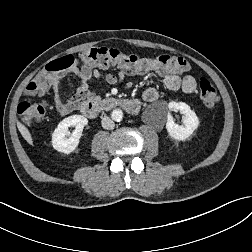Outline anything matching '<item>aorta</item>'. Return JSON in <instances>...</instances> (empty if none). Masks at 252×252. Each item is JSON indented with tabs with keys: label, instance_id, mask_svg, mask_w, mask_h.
<instances>
[{
	"label": "aorta",
	"instance_id": "aorta-1",
	"mask_svg": "<svg viewBox=\"0 0 252 252\" xmlns=\"http://www.w3.org/2000/svg\"><path fill=\"white\" fill-rule=\"evenodd\" d=\"M111 117L114 121L120 122L123 119V111L121 109H115L112 111Z\"/></svg>",
	"mask_w": 252,
	"mask_h": 252
}]
</instances>
